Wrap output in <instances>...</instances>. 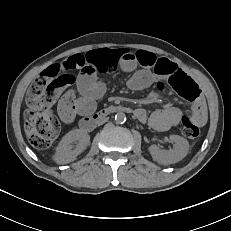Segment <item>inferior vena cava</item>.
<instances>
[{
    "instance_id": "inferior-vena-cava-1",
    "label": "inferior vena cava",
    "mask_w": 231,
    "mask_h": 231,
    "mask_svg": "<svg viewBox=\"0 0 231 231\" xmlns=\"http://www.w3.org/2000/svg\"><path fill=\"white\" fill-rule=\"evenodd\" d=\"M110 119L108 117L102 118L98 124L101 126L102 124H104L105 122H108Z\"/></svg>"
}]
</instances>
